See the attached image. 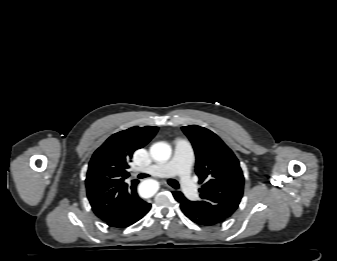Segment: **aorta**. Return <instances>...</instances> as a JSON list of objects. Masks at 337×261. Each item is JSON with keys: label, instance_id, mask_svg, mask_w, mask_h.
<instances>
[{"label": "aorta", "instance_id": "aorta-1", "mask_svg": "<svg viewBox=\"0 0 337 261\" xmlns=\"http://www.w3.org/2000/svg\"><path fill=\"white\" fill-rule=\"evenodd\" d=\"M171 147L167 143L157 142L150 147L151 157L157 162H165L171 157ZM158 182L153 179L144 180L139 184L138 191L142 197H152L158 190Z\"/></svg>", "mask_w": 337, "mask_h": 261}]
</instances>
